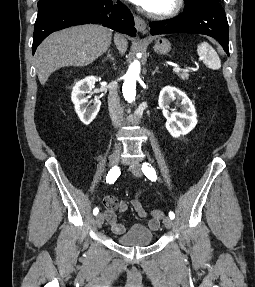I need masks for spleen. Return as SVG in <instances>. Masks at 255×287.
<instances>
[{
  "label": "spleen",
  "instance_id": "3e777b00",
  "mask_svg": "<svg viewBox=\"0 0 255 287\" xmlns=\"http://www.w3.org/2000/svg\"><path fill=\"white\" fill-rule=\"evenodd\" d=\"M198 52L202 54L204 64L207 68H211V70H219V68H221L219 56H217L215 50H213L212 46H209L207 42H202V44L198 46Z\"/></svg>",
  "mask_w": 255,
  "mask_h": 287
}]
</instances>
